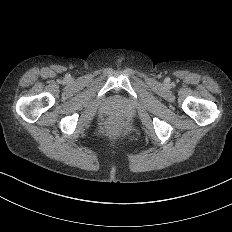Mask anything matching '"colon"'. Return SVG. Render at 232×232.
Segmentation results:
<instances>
[{
    "label": "colon",
    "instance_id": "colon-1",
    "mask_svg": "<svg viewBox=\"0 0 232 232\" xmlns=\"http://www.w3.org/2000/svg\"><path fill=\"white\" fill-rule=\"evenodd\" d=\"M109 130L113 134H120L124 130V123L120 119H113L109 123Z\"/></svg>",
    "mask_w": 232,
    "mask_h": 232
}]
</instances>
